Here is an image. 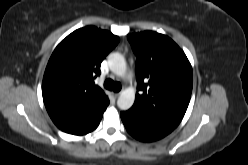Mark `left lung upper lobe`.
I'll return each mask as SVG.
<instances>
[{
  "label": "left lung upper lobe",
  "mask_w": 248,
  "mask_h": 165,
  "mask_svg": "<svg viewBox=\"0 0 248 165\" xmlns=\"http://www.w3.org/2000/svg\"><path fill=\"white\" fill-rule=\"evenodd\" d=\"M137 56V90L133 110L177 127L187 110L192 67L185 53L168 36L145 31L127 36Z\"/></svg>",
  "instance_id": "obj_1"
}]
</instances>
